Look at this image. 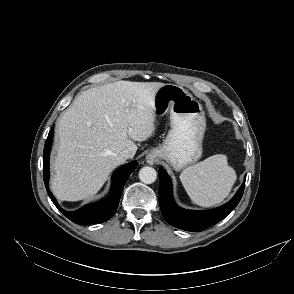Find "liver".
I'll return each instance as SVG.
<instances>
[{
  "mask_svg": "<svg viewBox=\"0 0 294 294\" xmlns=\"http://www.w3.org/2000/svg\"><path fill=\"white\" fill-rule=\"evenodd\" d=\"M163 85L117 81L90 88L75 99L57 123L59 145L51 189L58 199L93 196L125 162L122 151L135 155V141L154 134V95Z\"/></svg>",
  "mask_w": 294,
  "mask_h": 294,
  "instance_id": "6515ba94",
  "label": "liver"
}]
</instances>
